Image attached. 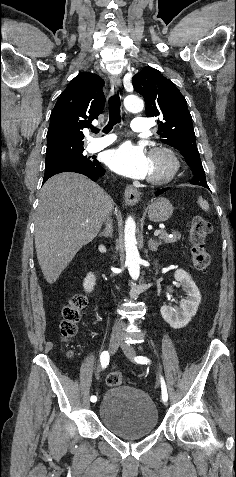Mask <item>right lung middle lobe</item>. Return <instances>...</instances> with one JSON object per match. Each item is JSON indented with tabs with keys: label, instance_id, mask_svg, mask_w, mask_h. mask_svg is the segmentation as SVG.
<instances>
[{
	"label": "right lung middle lobe",
	"instance_id": "obj_1",
	"mask_svg": "<svg viewBox=\"0 0 236 477\" xmlns=\"http://www.w3.org/2000/svg\"><path fill=\"white\" fill-rule=\"evenodd\" d=\"M83 151L55 162L46 163L45 173L54 172V171H64L71 168H79V167L90 168L98 163V161L96 160H90V157L85 156L83 154Z\"/></svg>",
	"mask_w": 236,
	"mask_h": 477
}]
</instances>
